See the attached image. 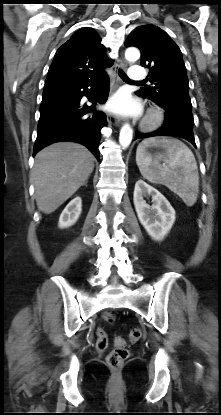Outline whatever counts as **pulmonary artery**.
<instances>
[{
  "label": "pulmonary artery",
  "instance_id": "obj_1",
  "mask_svg": "<svg viewBox=\"0 0 221 415\" xmlns=\"http://www.w3.org/2000/svg\"><path fill=\"white\" fill-rule=\"evenodd\" d=\"M129 78L132 81H141L145 78V71L142 67L134 65L129 70Z\"/></svg>",
  "mask_w": 221,
  "mask_h": 415
}]
</instances>
